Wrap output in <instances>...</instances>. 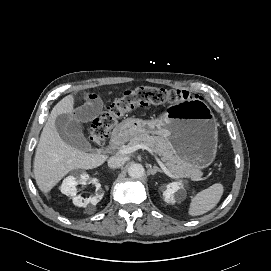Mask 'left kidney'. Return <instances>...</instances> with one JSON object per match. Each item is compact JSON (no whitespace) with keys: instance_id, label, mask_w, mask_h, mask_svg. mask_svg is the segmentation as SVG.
Returning a JSON list of instances; mask_svg holds the SVG:
<instances>
[{"instance_id":"5707ae66","label":"left kidney","mask_w":271,"mask_h":271,"mask_svg":"<svg viewBox=\"0 0 271 271\" xmlns=\"http://www.w3.org/2000/svg\"><path fill=\"white\" fill-rule=\"evenodd\" d=\"M180 188L181 184L178 182L168 184L166 190L163 192L165 201L167 203L169 202L175 203L176 200L181 199V193H179Z\"/></svg>"}]
</instances>
